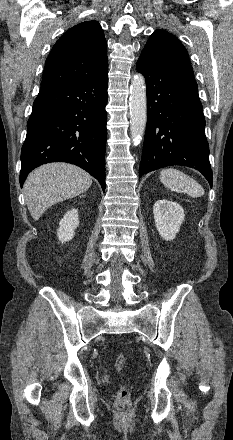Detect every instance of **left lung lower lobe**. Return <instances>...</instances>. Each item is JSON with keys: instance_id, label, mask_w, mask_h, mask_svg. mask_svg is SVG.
<instances>
[{"instance_id": "0a47b994", "label": "left lung lower lobe", "mask_w": 233, "mask_h": 440, "mask_svg": "<svg viewBox=\"0 0 233 440\" xmlns=\"http://www.w3.org/2000/svg\"><path fill=\"white\" fill-rule=\"evenodd\" d=\"M137 70L146 80L148 112L139 178L162 167L184 165L200 171L212 187L205 119L193 75L143 56Z\"/></svg>"}]
</instances>
